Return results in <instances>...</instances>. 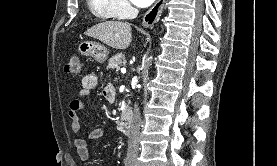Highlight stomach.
I'll return each mask as SVG.
<instances>
[{
	"label": "stomach",
	"mask_w": 277,
	"mask_h": 166,
	"mask_svg": "<svg viewBox=\"0 0 277 166\" xmlns=\"http://www.w3.org/2000/svg\"><path fill=\"white\" fill-rule=\"evenodd\" d=\"M81 55L91 57L98 63H104L108 58L107 48L97 42L83 41L78 45Z\"/></svg>",
	"instance_id": "obj_1"
}]
</instances>
